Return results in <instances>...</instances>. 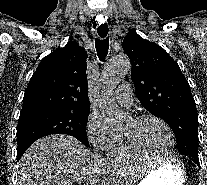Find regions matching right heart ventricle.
Returning a JSON list of instances; mask_svg holds the SVG:
<instances>
[{
	"label": "right heart ventricle",
	"mask_w": 207,
	"mask_h": 185,
	"mask_svg": "<svg viewBox=\"0 0 207 185\" xmlns=\"http://www.w3.org/2000/svg\"><path fill=\"white\" fill-rule=\"evenodd\" d=\"M106 157L118 163L145 160L146 158L132 152L126 145L123 134L116 133L105 148Z\"/></svg>",
	"instance_id": "e07e8e85"
}]
</instances>
